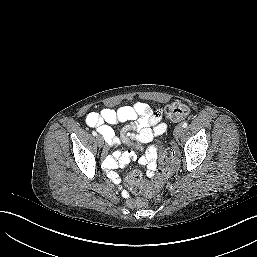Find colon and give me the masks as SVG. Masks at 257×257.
Masks as SVG:
<instances>
[{"label": "colon", "instance_id": "5ec220e1", "mask_svg": "<svg viewBox=\"0 0 257 257\" xmlns=\"http://www.w3.org/2000/svg\"><path fill=\"white\" fill-rule=\"evenodd\" d=\"M164 114L173 122H180L186 119L190 114V109L187 105L180 102H173L164 108ZM161 163L163 167L158 171V175L151 182L143 180L139 171L131 172L127 178L126 183L131 190L136 194H142L135 200L137 206L147 205L149 200L157 199L159 197L163 181L170 175L173 167L177 163L176 154L173 148L168 147L164 149Z\"/></svg>", "mask_w": 257, "mask_h": 257}]
</instances>
